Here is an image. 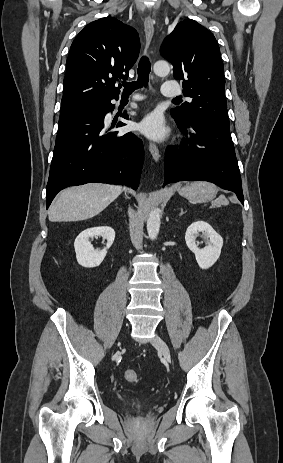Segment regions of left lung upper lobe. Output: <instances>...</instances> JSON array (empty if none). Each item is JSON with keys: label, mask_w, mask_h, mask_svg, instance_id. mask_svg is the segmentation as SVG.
<instances>
[{"label": "left lung upper lobe", "mask_w": 283, "mask_h": 463, "mask_svg": "<svg viewBox=\"0 0 283 463\" xmlns=\"http://www.w3.org/2000/svg\"><path fill=\"white\" fill-rule=\"evenodd\" d=\"M161 55L173 65L174 78L183 80V94L192 99L172 109L173 117L184 124L207 122L230 130L224 68L214 35L186 19L165 39Z\"/></svg>", "instance_id": "1"}]
</instances>
